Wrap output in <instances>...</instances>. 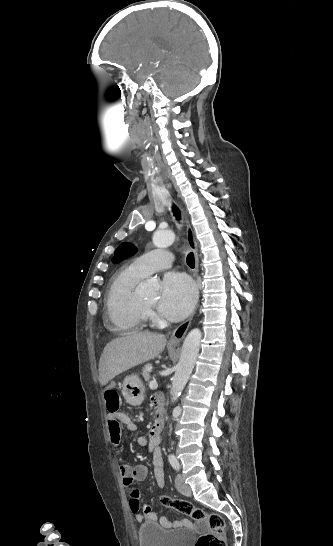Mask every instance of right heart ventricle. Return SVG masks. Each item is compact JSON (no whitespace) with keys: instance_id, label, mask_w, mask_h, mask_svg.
<instances>
[{"instance_id":"e07e8e85","label":"right heart ventricle","mask_w":333,"mask_h":546,"mask_svg":"<svg viewBox=\"0 0 333 546\" xmlns=\"http://www.w3.org/2000/svg\"><path fill=\"white\" fill-rule=\"evenodd\" d=\"M144 278L132 266L123 268L113 277L106 295V317L114 330L137 332L144 328L146 310L136 293L137 285Z\"/></svg>"}]
</instances>
